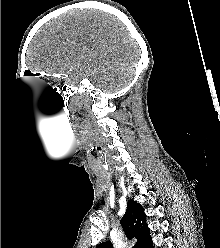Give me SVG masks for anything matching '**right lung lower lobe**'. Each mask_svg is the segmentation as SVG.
I'll use <instances>...</instances> for the list:
<instances>
[{"label": "right lung lower lobe", "mask_w": 220, "mask_h": 248, "mask_svg": "<svg viewBox=\"0 0 220 248\" xmlns=\"http://www.w3.org/2000/svg\"><path fill=\"white\" fill-rule=\"evenodd\" d=\"M148 248H153V243H151L150 246H148Z\"/></svg>", "instance_id": "98d812e1"}]
</instances>
